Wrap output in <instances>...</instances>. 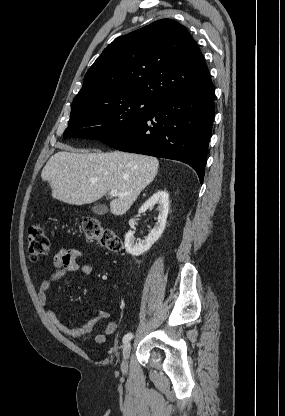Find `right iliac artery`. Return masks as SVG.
Returning a JSON list of instances; mask_svg holds the SVG:
<instances>
[{"mask_svg":"<svg viewBox=\"0 0 285 416\" xmlns=\"http://www.w3.org/2000/svg\"><path fill=\"white\" fill-rule=\"evenodd\" d=\"M133 337V334L131 332L127 333L126 335H124L123 337V343H127L129 340H131Z\"/></svg>","mask_w":285,"mask_h":416,"instance_id":"82829eb1","label":"right iliac artery"}]
</instances>
